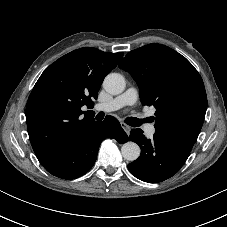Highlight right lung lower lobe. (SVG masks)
Instances as JSON below:
<instances>
[{
	"label": "right lung lower lobe",
	"instance_id": "right-lung-lower-lobe-1",
	"mask_svg": "<svg viewBox=\"0 0 227 227\" xmlns=\"http://www.w3.org/2000/svg\"><path fill=\"white\" fill-rule=\"evenodd\" d=\"M118 135L127 136L119 121L107 116L103 122H94L88 129L69 143L62 152L43 167L62 179H74L88 172L96 161L103 139Z\"/></svg>",
	"mask_w": 227,
	"mask_h": 227
}]
</instances>
